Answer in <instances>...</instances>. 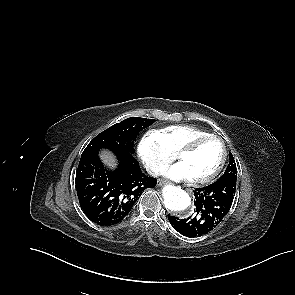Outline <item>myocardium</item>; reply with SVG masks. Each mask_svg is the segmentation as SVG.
Here are the masks:
<instances>
[{
	"instance_id": "myocardium-1",
	"label": "myocardium",
	"mask_w": 295,
	"mask_h": 295,
	"mask_svg": "<svg viewBox=\"0 0 295 295\" xmlns=\"http://www.w3.org/2000/svg\"><path fill=\"white\" fill-rule=\"evenodd\" d=\"M207 139H215L217 141H219L220 145H221V158L220 161L218 163V165L216 166V168L207 176L201 177V178H192L191 181L193 183L196 184H206L211 182L212 180H214L222 171L226 159H227V147L225 144V141L218 135L216 134H212V133H208V134H204V135H200L197 136L193 139H191L189 142H187L183 147H181L176 153V159L180 160V158L183 155H186L190 152H192L193 150L196 149V147L203 141L207 140Z\"/></svg>"
}]
</instances>
